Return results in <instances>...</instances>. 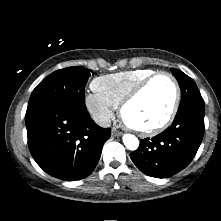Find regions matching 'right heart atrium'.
<instances>
[{
	"instance_id": "obj_1",
	"label": "right heart atrium",
	"mask_w": 221,
	"mask_h": 221,
	"mask_svg": "<svg viewBox=\"0 0 221 221\" xmlns=\"http://www.w3.org/2000/svg\"><path fill=\"white\" fill-rule=\"evenodd\" d=\"M85 105L94 119L102 124H108L114 116V107L96 93L85 96Z\"/></svg>"
}]
</instances>
